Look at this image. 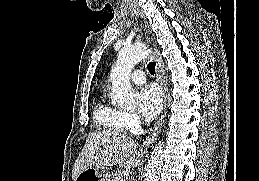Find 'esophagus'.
I'll list each match as a JSON object with an SVG mask.
<instances>
[{"instance_id": "esophagus-1", "label": "esophagus", "mask_w": 259, "mask_h": 181, "mask_svg": "<svg viewBox=\"0 0 259 181\" xmlns=\"http://www.w3.org/2000/svg\"><path fill=\"white\" fill-rule=\"evenodd\" d=\"M148 40L150 42L153 41V36L151 34H148ZM154 59L156 61V72L158 80L163 88V111L159 118V120L156 122L155 126L151 129L148 136L146 137L145 141L143 142V146L147 147L150 144H152L157 136L159 135L161 131V127L164 123V119L167 112V105H168V86H167V78L164 72L163 63L160 57V54L158 50L156 49L154 45Z\"/></svg>"}]
</instances>
